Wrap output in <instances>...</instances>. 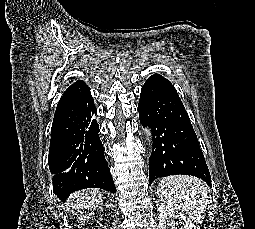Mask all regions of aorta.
I'll use <instances>...</instances> for the list:
<instances>
[{"label": "aorta", "instance_id": "1", "mask_svg": "<svg viewBox=\"0 0 255 229\" xmlns=\"http://www.w3.org/2000/svg\"><path fill=\"white\" fill-rule=\"evenodd\" d=\"M145 134H146V139L148 140L149 143H151L152 139H151V131H150L149 127L145 128Z\"/></svg>", "mask_w": 255, "mask_h": 229}]
</instances>
